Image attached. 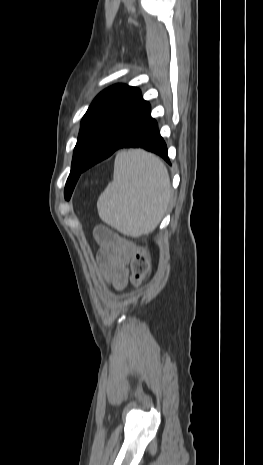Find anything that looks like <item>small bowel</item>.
<instances>
[{
	"label": "small bowel",
	"instance_id": "c3829d8e",
	"mask_svg": "<svg viewBox=\"0 0 263 465\" xmlns=\"http://www.w3.org/2000/svg\"><path fill=\"white\" fill-rule=\"evenodd\" d=\"M96 238L102 249L106 263V274L117 289H122L128 279L127 262L130 253L121 248L118 240L106 230L96 232Z\"/></svg>",
	"mask_w": 263,
	"mask_h": 465
}]
</instances>
